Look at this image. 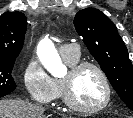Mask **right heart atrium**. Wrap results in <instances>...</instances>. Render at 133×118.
Segmentation results:
<instances>
[{
  "mask_svg": "<svg viewBox=\"0 0 133 118\" xmlns=\"http://www.w3.org/2000/svg\"><path fill=\"white\" fill-rule=\"evenodd\" d=\"M23 81L30 97L40 103L48 104L56 98V85L39 61L32 57L24 68Z\"/></svg>",
  "mask_w": 133,
  "mask_h": 118,
  "instance_id": "obj_1",
  "label": "right heart atrium"
}]
</instances>
